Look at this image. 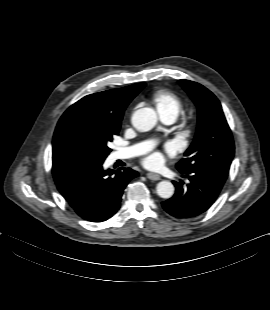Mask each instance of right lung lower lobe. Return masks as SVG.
I'll use <instances>...</instances> for the list:
<instances>
[{"mask_svg": "<svg viewBox=\"0 0 270 310\" xmlns=\"http://www.w3.org/2000/svg\"><path fill=\"white\" fill-rule=\"evenodd\" d=\"M102 164L71 160L52 166L61 195L77 215L91 222L111 218L120 208L128 182L138 176L130 168L103 170Z\"/></svg>", "mask_w": 270, "mask_h": 310, "instance_id": "1", "label": "right lung lower lobe"}]
</instances>
